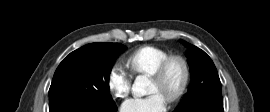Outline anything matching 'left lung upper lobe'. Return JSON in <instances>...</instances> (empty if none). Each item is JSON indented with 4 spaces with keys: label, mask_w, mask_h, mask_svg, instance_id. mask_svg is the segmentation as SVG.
I'll use <instances>...</instances> for the list:
<instances>
[{
    "label": "left lung upper lobe",
    "mask_w": 270,
    "mask_h": 112,
    "mask_svg": "<svg viewBox=\"0 0 270 112\" xmlns=\"http://www.w3.org/2000/svg\"><path fill=\"white\" fill-rule=\"evenodd\" d=\"M180 42L188 48L186 56L192 79L188 93L175 111L190 108L195 104L223 105L221 83L213 61L203 50L183 40Z\"/></svg>",
    "instance_id": "5c2ea615"
}]
</instances>
